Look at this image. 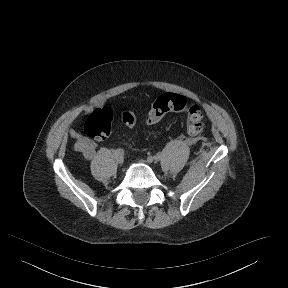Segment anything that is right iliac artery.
I'll use <instances>...</instances> for the list:
<instances>
[{"label":"right iliac artery","instance_id":"1","mask_svg":"<svg viewBox=\"0 0 288 288\" xmlns=\"http://www.w3.org/2000/svg\"><path fill=\"white\" fill-rule=\"evenodd\" d=\"M124 156V151L123 149H117L114 151V157L115 158H119V159H122Z\"/></svg>","mask_w":288,"mask_h":288}]
</instances>
